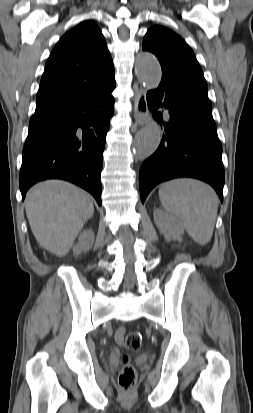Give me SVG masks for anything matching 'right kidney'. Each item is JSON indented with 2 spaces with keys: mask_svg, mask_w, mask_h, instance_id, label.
<instances>
[{
  "mask_svg": "<svg viewBox=\"0 0 253 413\" xmlns=\"http://www.w3.org/2000/svg\"><path fill=\"white\" fill-rule=\"evenodd\" d=\"M94 242V232L92 230L83 231L78 238L77 244L73 247V253L79 255L81 252H87L92 248Z\"/></svg>",
  "mask_w": 253,
  "mask_h": 413,
  "instance_id": "ca27d5eb",
  "label": "right kidney"
}]
</instances>
